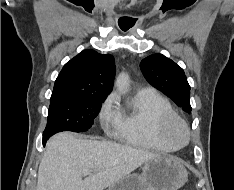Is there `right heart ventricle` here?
Segmentation results:
<instances>
[{
  "mask_svg": "<svg viewBox=\"0 0 234 190\" xmlns=\"http://www.w3.org/2000/svg\"><path fill=\"white\" fill-rule=\"evenodd\" d=\"M173 114L175 112L170 102L157 91L138 92L127 108L118 109L115 126L117 137L137 148L175 151L178 147L161 134L162 121Z\"/></svg>",
  "mask_w": 234,
  "mask_h": 190,
  "instance_id": "obj_1",
  "label": "right heart ventricle"
}]
</instances>
